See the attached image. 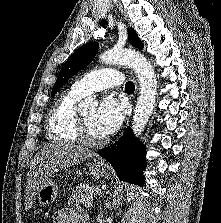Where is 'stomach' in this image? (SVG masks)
Returning a JSON list of instances; mask_svg holds the SVG:
<instances>
[{
    "label": "stomach",
    "instance_id": "stomach-1",
    "mask_svg": "<svg viewBox=\"0 0 221 223\" xmlns=\"http://www.w3.org/2000/svg\"><path fill=\"white\" fill-rule=\"evenodd\" d=\"M89 171L95 178H108L110 175L108 172V168L104 164L97 161L89 164ZM58 189L59 186L56 184L52 177L46 179L37 193L40 204H42L43 206L51 205L57 198Z\"/></svg>",
    "mask_w": 221,
    "mask_h": 223
}]
</instances>
